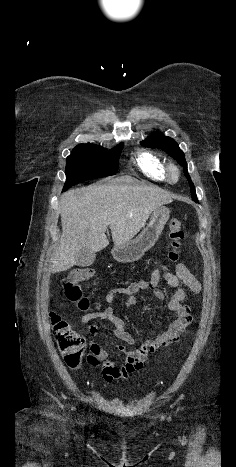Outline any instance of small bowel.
Listing matches in <instances>:
<instances>
[{"label":"small bowel","instance_id":"1","mask_svg":"<svg viewBox=\"0 0 236 467\" xmlns=\"http://www.w3.org/2000/svg\"><path fill=\"white\" fill-rule=\"evenodd\" d=\"M161 279H164L168 286L173 289L168 301V309L175 313L176 318L171 321L166 331L157 335L154 339L143 342L137 349L131 350L124 345H117V350L125 356L121 366L117 367L109 358V353L93 341V338L99 332L98 326L93 324L89 327L91 341L87 362L91 366L101 367L105 381L128 379L132 374L143 368L149 354L176 342L180 338L192 322L190 308L183 303L187 297L184 287L194 294H199L201 284L184 263H179L176 266L175 273L157 268L152 272L149 280H137L127 286L112 288L104 299V308L101 311L87 312L81 317L80 320L83 324L90 323L95 319L111 322L114 326V335L118 339L128 345H135L136 338L126 329L125 322L114 314L113 302L117 296H125V305L130 308L136 304L137 295L146 290L151 291L156 298L164 299L165 292L161 285Z\"/></svg>","mask_w":236,"mask_h":467}]
</instances>
